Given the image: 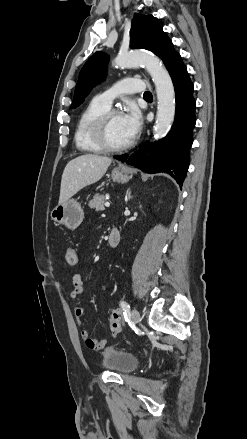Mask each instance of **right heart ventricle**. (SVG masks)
Returning a JSON list of instances; mask_svg holds the SVG:
<instances>
[{"label":"right heart ventricle","instance_id":"1","mask_svg":"<svg viewBox=\"0 0 247 439\" xmlns=\"http://www.w3.org/2000/svg\"><path fill=\"white\" fill-rule=\"evenodd\" d=\"M109 109L110 107L93 99L82 111L74 133V142L77 149L87 153L103 152L94 140L93 128L97 119Z\"/></svg>","mask_w":247,"mask_h":439}]
</instances>
